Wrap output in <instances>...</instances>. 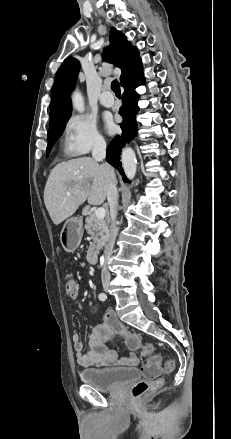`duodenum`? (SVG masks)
Instances as JSON below:
<instances>
[{
  "mask_svg": "<svg viewBox=\"0 0 231 439\" xmlns=\"http://www.w3.org/2000/svg\"><path fill=\"white\" fill-rule=\"evenodd\" d=\"M87 261L94 265L97 263L98 260V254H97V250L92 247L87 251V255H86Z\"/></svg>",
  "mask_w": 231,
  "mask_h": 439,
  "instance_id": "1",
  "label": "duodenum"
}]
</instances>
